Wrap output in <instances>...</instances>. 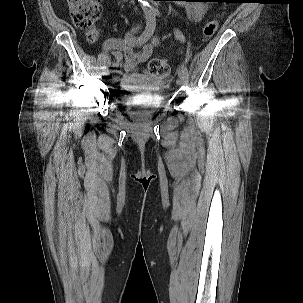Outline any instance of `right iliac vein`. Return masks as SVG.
<instances>
[{"label":"right iliac vein","instance_id":"obj_1","mask_svg":"<svg viewBox=\"0 0 303 303\" xmlns=\"http://www.w3.org/2000/svg\"><path fill=\"white\" fill-rule=\"evenodd\" d=\"M121 74V71H116L114 74H112V80H116L118 78V75Z\"/></svg>","mask_w":303,"mask_h":303}]
</instances>
